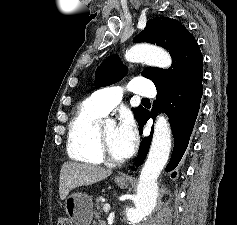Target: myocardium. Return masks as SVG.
<instances>
[{"label": "myocardium", "instance_id": "myocardium-1", "mask_svg": "<svg viewBox=\"0 0 237 225\" xmlns=\"http://www.w3.org/2000/svg\"><path fill=\"white\" fill-rule=\"evenodd\" d=\"M97 139L103 161L111 164H121L124 162V159H117L111 154L101 126L97 129Z\"/></svg>", "mask_w": 237, "mask_h": 225}]
</instances>
